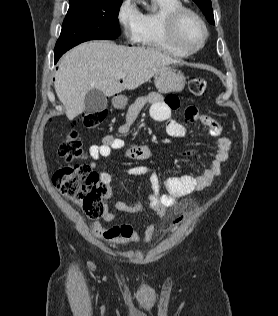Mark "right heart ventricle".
<instances>
[{"label": "right heart ventricle", "mask_w": 278, "mask_h": 316, "mask_svg": "<svg viewBox=\"0 0 278 316\" xmlns=\"http://www.w3.org/2000/svg\"><path fill=\"white\" fill-rule=\"evenodd\" d=\"M153 2L156 10L142 14L137 43L163 51L174 57H187L189 53L173 41L167 26L169 14L183 6L182 0H153Z\"/></svg>", "instance_id": "e07e8e85"}]
</instances>
